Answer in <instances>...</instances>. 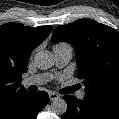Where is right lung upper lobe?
Returning <instances> with one entry per match:
<instances>
[{
    "instance_id": "cb5924a9",
    "label": "right lung upper lobe",
    "mask_w": 119,
    "mask_h": 119,
    "mask_svg": "<svg viewBox=\"0 0 119 119\" xmlns=\"http://www.w3.org/2000/svg\"><path fill=\"white\" fill-rule=\"evenodd\" d=\"M52 26L36 28L17 23L0 26V119L30 93L21 87L30 52L49 35Z\"/></svg>"
}]
</instances>
